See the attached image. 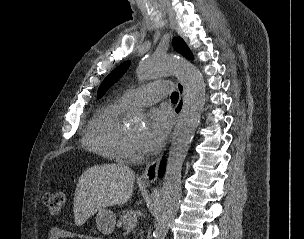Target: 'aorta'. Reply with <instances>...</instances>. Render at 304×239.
<instances>
[{
    "label": "aorta",
    "mask_w": 304,
    "mask_h": 239,
    "mask_svg": "<svg viewBox=\"0 0 304 239\" xmlns=\"http://www.w3.org/2000/svg\"><path fill=\"white\" fill-rule=\"evenodd\" d=\"M137 73L143 81L175 75L185 88L183 107L171 139L154 230L155 239H165L181 198L182 166L204 109L205 83L196 66L184 58L172 55L143 59Z\"/></svg>",
    "instance_id": "aorta-1"
}]
</instances>
